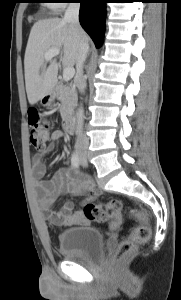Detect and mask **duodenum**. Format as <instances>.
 Here are the masks:
<instances>
[{
  "instance_id": "duodenum-1",
  "label": "duodenum",
  "mask_w": 181,
  "mask_h": 300,
  "mask_svg": "<svg viewBox=\"0 0 181 300\" xmlns=\"http://www.w3.org/2000/svg\"><path fill=\"white\" fill-rule=\"evenodd\" d=\"M52 95V93H51ZM64 130L68 134H72L74 132V120L71 116H65L63 121Z\"/></svg>"
}]
</instances>
